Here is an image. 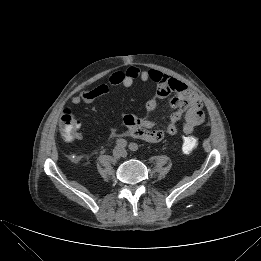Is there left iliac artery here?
<instances>
[{
  "mask_svg": "<svg viewBox=\"0 0 261 261\" xmlns=\"http://www.w3.org/2000/svg\"><path fill=\"white\" fill-rule=\"evenodd\" d=\"M129 149H130L131 151L135 152V151L138 150V145L135 144V143H131V144L129 145Z\"/></svg>",
  "mask_w": 261,
  "mask_h": 261,
  "instance_id": "left-iliac-artery-1",
  "label": "left iliac artery"
}]
</instances>
